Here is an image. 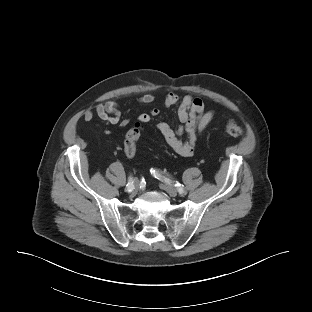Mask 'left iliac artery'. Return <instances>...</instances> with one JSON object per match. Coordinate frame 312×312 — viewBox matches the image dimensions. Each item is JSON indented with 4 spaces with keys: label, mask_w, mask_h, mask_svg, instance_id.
I'll use <instances>...</instances> for the list:
<instances>
[{
    "label": "left iliac artery",
    "mask_w": 312,
    "mask_h": 312,
    "mask_svg": "<svg viewBox=\"0 0 312 312\" xmlns=\"http://www.w3.org/2000/svg\"><path fill=\"white\" fill-rule=\"evenodd\" d=\"M151 172H153L154 175L157 174V172H156L155 170H153V171L151 170ZM175 186L177 187L179 193H181V194L184 193L185 190H184V188H183V185H181L180 183L177 182V183L175 184Z\"/></svg>",
    "instance_id": "44dca946"
}]
</instances>
